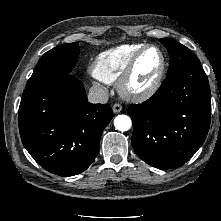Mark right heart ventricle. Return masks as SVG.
<instances>
[{"instance_id":"e07e8e85","label":"right heart ventricle","mask_w":221,"mask_h":221,"mask_svg":"<svg viewBox=\"0 0 221 221\" xmlns=\"http://www.w3.org/2000/svg\"><path fill=\"white\" fill-rule=\"evenodd\" d=\"M143 46L140 43L125 44L100 53L93 62V75L104 83L116 82L133 55Z\"/></svg>"}]
</instances>
